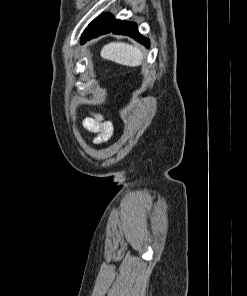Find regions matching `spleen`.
I'll return each mask as SVG.
<instances>
[{
    "instance_id": "spleen-1",
    "label": "spleen",
    "mask_w": 247,
    "mask_h": 296,
    "mask_svg": "<svg viewBox=\"0 0 247 296\" xmlns=\"http://www.w3.org/2000/svg\"><path fill=\"white\" fill-rule=\"evenodd\" d=\"M100 55L103 59L130 67L141 65L144 59L139 47L123 42H112L105 45Z\"/></svg>"
}]
</instances>
